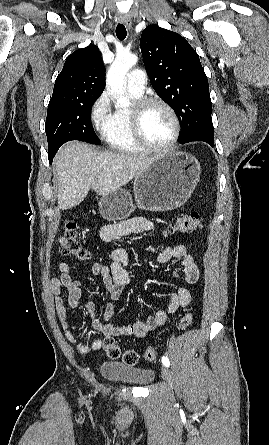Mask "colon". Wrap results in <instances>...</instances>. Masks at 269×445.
<instances>
[{
  "mask_svg": "<svg viewBox=\"0 0 269 445\" xmlns=\"http://www.w3.org/2000/svg\"><path fill=\"white\" fill-rule=\"evenodd\" d=\"M203 218L201 214L197 212H191L189 214L181 215L177 220L168 227V234L190 233L198 230L202 227ZM60 252L70 258L77 260H87L91 257L89 251H87L82 245L77 230V224L75 221L70 220L65 224L63 233L59 240ZM193 321V314L188 310L180 319L179 327L181 329H187ZM103 350L110 359H118L122 357L123 362L134 367L139 362V355L134 350L121 351L120 346L112 337H106L103 340ZM144 357L148 361H152L156 358V350L153 347H148L144 352Z\"/></svg>",
  "mask_w": 269,
  "mask_h": 445,
  "instance_id": "colon-1",
  "label": "colon"
}]
</instances>
